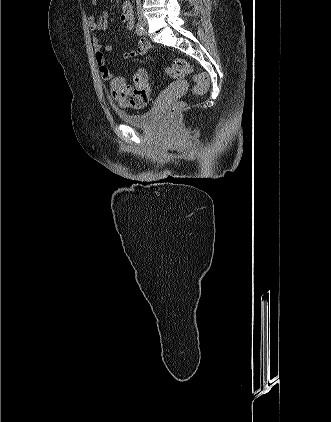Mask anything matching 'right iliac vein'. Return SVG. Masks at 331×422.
<instances>
[{"instance_id": "obj_1", "label": "right iliac vein", "mask_w": 331, "mask_h": 422, "mask_svg": "<svg viewBox=\"0 0 331 422\" xmlns=\"http://www.w3.org/2000/svg\"><path fill=\"white\" fill-rule=\"evenodd\" d=\"M141 22L143 23L144 22V19L141 18Z\"/></svg>"}]
</instances>
